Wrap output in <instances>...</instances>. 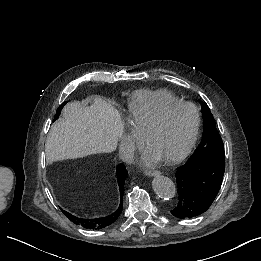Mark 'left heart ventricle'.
Listing matches in <instances>:
<instances>
[{
	"label": "left heart ventricle",
	"instance_id": "1",
	"mask_svg": "<svg viewBox=\"0 0 261 261\" xmlns=\"http://www.w3.org/2000/svg\"><path fill=\"white\" fill-rule=\"evenodd\" d=\"M194 117L190 110L173 108L159 119L146 123L140 130V139L157 158H165L179 151L187 141Z\"/></svg>",
	"mask_w": 261,
	"mask_h": 261
}]
</instances>
